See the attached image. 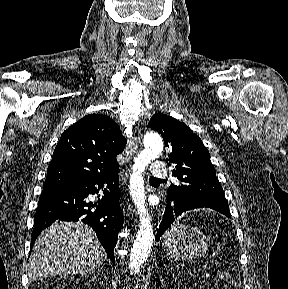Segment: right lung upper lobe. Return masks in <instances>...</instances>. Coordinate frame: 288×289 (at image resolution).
<instances>
[{
    "label": "right lung upper lobe",
    "mask_w": 288,
    "mask_h": 289,
    "mask_svg": "<svg viewBox=\"0 0 288 289\" xmlns=\"http://www.w3.org/2000/svg\"><path fill=\"white\" fill-rule=\"evenodd\" d=\"M125 144L119 126L108 116L83 117L61 135L43 188L65 185L119 167L116 156Z\"/></svg>",
    "instance_id": "obj_1"
}]
</instances>
